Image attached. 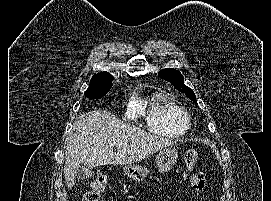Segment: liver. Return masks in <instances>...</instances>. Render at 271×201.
<instances>
[{
	"instance_id": "1",
	"label": "liver",
	"mask_w": 271,
	"mask_h": 201,
	"mask_svg": "<svg viewBox=\"0 0 271 201\" xmlns=\"http://www.w3.org/2000/svg\"><path fill=\"white\" fill-rule=\"evenodd\" d=\"M175 142L124 123L116 116L95 110L79 116L69 134L64 175L67 188L75 184V170L82 165H127L139 162ZM114 146L117 152H113Z\"/></svg>"
}]
</instances>
